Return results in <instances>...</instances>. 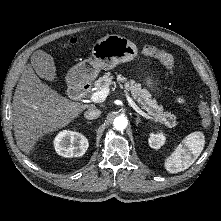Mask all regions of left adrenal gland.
Wrapping results in <instances>:
<instances>
[{
  "mask_svg": "<svg viewBox=\"0 0 221 221\" xmlns=\"http://www.w3.org/2000/svg\"><path fill=\"white\" fill-rule=\"evenodd\" d=\"M137 118H136V125L138 126V124L141 122L140 116L138 114H136Z\"/></svg>",
  "mask_w": 221,
  "mask_h": 221,
  "instance_id": "left-adrenal-gland-1",
  "label": "left adrenal gland"
}]
</instances>
